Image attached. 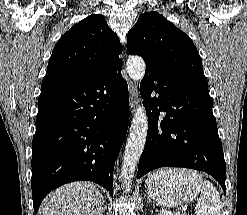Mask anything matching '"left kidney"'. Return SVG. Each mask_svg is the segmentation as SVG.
I'll return each instance as SVG.
<instances>
[{
    "label": "left kidney",
    "instance_id": "5707ae66",
    "mask_svg": "<svg viewBox=\"0 0 247 215\" xmlns=\"http://www.w3.org/2000/svg\"><path fill=\"white\" fill-rule=\"evenodd\" d=\"M157 215H174L172 212L162 209Z\"/></svg>",
    "mask_w": 247,
    "mask_h": 215
}]
</instances>
